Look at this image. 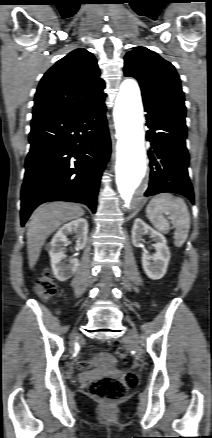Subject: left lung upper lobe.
Wrapping results in <instances>:
<instances>
[{
  "mask_svg": "<svg viewBox=\"0 0 212 438\" xmlns=\"http://www.w3.org/2000/svg\"><path fill=\"white\" fill-rule=\"evenodd\" d=\"M124 73L138 80L144 102L186 113L179 75L174 66L157 53L134 47L125 55Z\"/></svg>",
  "mask_w": 212,
  "mask_h": 438,
  "instance_id": "obj_1",
  "label": "left lung upper lobe"
}]
</instances>
